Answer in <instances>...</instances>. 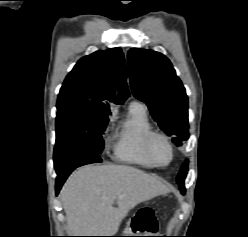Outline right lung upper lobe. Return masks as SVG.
Listing matches in <instances>:
<instances>
[{
	"label": "right lung upper lobe",
	"instance_id": "cb5924a9",
	"mask_svg": "<svg viewBox=\"0 0 248 237\" xmlns=\"http://www.w3.org/2000/svg\"><path fill=\"white\" fill-rule=\"evenodd\" d=\"M126 65L120 48L81 58L67 75L57 104H75L97 114H110L106 101L123 103L129 96Z\"/></svg>",
	"mask_w": 248,
	"mask_h": 237
}]
</instances>
